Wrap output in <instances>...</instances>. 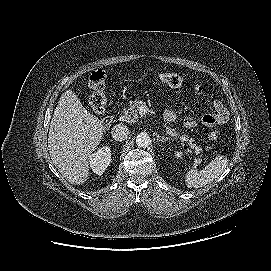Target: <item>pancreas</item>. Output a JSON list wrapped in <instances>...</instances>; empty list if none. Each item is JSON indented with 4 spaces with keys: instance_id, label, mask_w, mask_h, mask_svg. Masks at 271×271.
Returning a JSON list of instances; mask_svg holds the SVG:
<instances>
[{
    "instance_id": "1",
    "label": "pancreas",
    "mask_w": 271,
    "mask_h": 271,
    "mask_svg": "<svg viewBox=\"0 0 271 271\" xmlns=\"http://www.w3.org/2000/svg\"><path fill=\"white\" fill-rule=\"evenodd\" d=\"M144 104L145 102L142 100L137 99L133 101L130 104L128 109H124L122 116L119 117L120 121H124L127 123L136 122L139 118V110L141 106H143ZM170 126H173V125H170L166 121L163 123V127L165 128L166 133L168 135H170L172 138H175V139L179 138V140L182 143H188L189 147L193 149L195 154L198 155L201 153L202 148L193 143L194 142L193 138H189L187 135L180 136L179 133L176 131V129H172ZM201 162H202L201 158L194 159L195 166L199 165Z\"/></svg>"
}]
</instances>
